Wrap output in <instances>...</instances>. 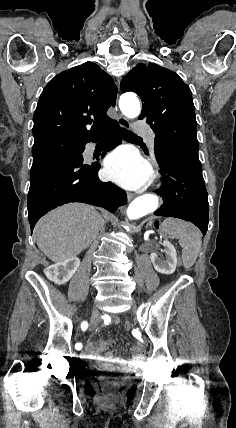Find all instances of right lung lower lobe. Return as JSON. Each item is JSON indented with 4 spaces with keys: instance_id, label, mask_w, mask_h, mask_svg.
Listing matches in <instances>:
<instances>
[{
    "instance_id": "98d812e1",
    "label": "right lung lower lobe",
    "mask_w": 236,
    "mask_h": 428,
    "mask_svg": "<svg viewBox=\"0 0 236 428\" xmlns=\"http://www.w3.org/2000/svg\"><path fill=\"white\" fill-rule=\"evenodd\" d=\"M101 138L107 139L105 151L121 144L118 122L113 121L97 133L79 140L81 157L56 156L32 165L27 205L31 231L44 214L69 202L100 206L110 212L127 203L124 190L99 180V164H83L85 144Z\"/></svg>"
}]
</instances>
